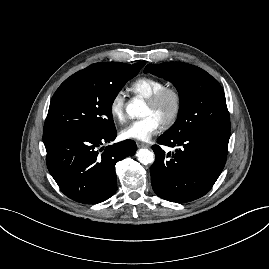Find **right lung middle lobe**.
<instances>
[{"instance_id":"right-lung-middle-lobe-1","label":"right lung middle lobe","mask_w":269,"mask_h":269,"mask_svg":"<svg viewBox=\"0 0 269 269\" xmlns=\"http://www.w3.org/2000/svg\"><path fill=\"white\" fill-rule=\"evenodd\" d=\"M139 70L85 68L67 78L52 97L44 132L77 129L94 134L115 130L111 107Z\"/></svg>"}]
</instances>
